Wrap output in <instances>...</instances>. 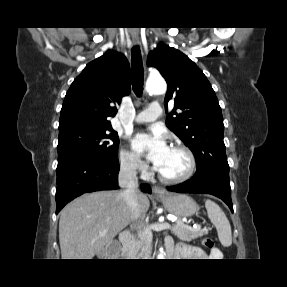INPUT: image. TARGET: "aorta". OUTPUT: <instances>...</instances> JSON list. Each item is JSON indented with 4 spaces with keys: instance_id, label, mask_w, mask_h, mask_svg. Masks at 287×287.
I'll use <instances>...</instances> for the list:
<instances>
[{
    "instance_id": "762f6f07",
    "label": "aorta",
    "mask_w": 287,
    "mask_h": 287,
    "mask_svg": "<svg viewBox=\"0 0 287 287\" xmlns=\"http://www.w3.org/2000/svg\"><path fill=\"white\" fill-rule=\"evenodd\" d=\"M167 89L166 83L162 78L148 79L146 82V91L154 94L165 93ZM165 253L160 249L158 259H164Z\"/></svg>"
}]
</instances>
